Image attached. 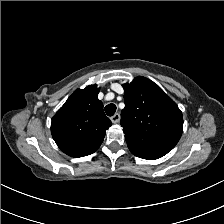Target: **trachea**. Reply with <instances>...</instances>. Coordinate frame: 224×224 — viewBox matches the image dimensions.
I'll use <instances>...</instances> for the list:
<instances>
[{"mask_svg": "<svg viewBox=\"0 0 224 224\" xmlns=\"http://www.w3.org/2000/svg\"><path fill=\"white\" fill-rule=\"evenodd\" d=\"M105 112L108 116H113L116 112V105L115 104H108L105 106Z\"/></svg>", "mask_w": 224, "mask_h": 224, "instance_id": "trachea-1", "label": "trachea"}]
</instances>
